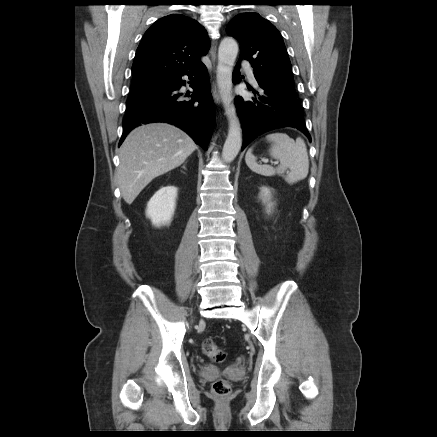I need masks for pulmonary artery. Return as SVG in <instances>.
Masks as SVG:
<instances>
[{"label":"pulmonary artery","mask_w":437,"mask_h":437,"mask_svg":"<svg viewBox=\"0 0 437 437\" xmlns=\"http://www.w3.org/2000/svg\"><path fill=\"white\" fill-rule=\"evenodd\" d=\"M243 66H244L245 69H246V72H247V74H248V77H249L251 80H254V74H253V71H252L251 67L249 66V64L246 63V62H243Z\"/></svg>","instance_id":"obj_1"}]
</instances>
